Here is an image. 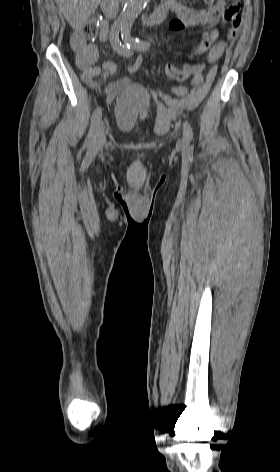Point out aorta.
Segmentation results:
<instances>
[{
    "label": "aorta",
    "instance_id": "1",
    "mask_svg": "<svg viewBox=\"0 0 280 472\" xmlns=\"http://www.w3.org/2000/svg\"><path fill=\"white\" fill-rule=\"evenodd\" d=\"M148 1L149 0H129L118 18L119 26L122 29H128L136 16L145 8Z\"/></svg>",
    "mask_w": 280,
    "mask_h": 472
}]
</instances>
